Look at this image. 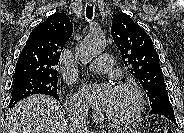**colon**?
<instances>
[{
  "instance_id": "5ec220e1",
  "label": "colon",
  "mask_w": 184,
  "mask_h": 133,
  "mask_svg": "<svg viewBox=\"0 0 184 133\" xmlns=\"http://www.w3.org/2000/svg\"><path fill=\"white\" fill-rule=\"evenodd\" d=\"M160 133H170L171 130L169 128H162L159 130Z\"/></svg>"
}]
</instances>
